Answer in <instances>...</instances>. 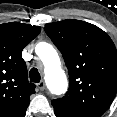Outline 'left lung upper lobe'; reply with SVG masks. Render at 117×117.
<instances>
[{"label":"left lung upper lobe","mask_w":117,"mask_h":117,"mask_svg":"<svg viewBox=\"0 0 117 117\" xmlns=\"http://www.w3.org/2000/svg\"><path fill=\"white\" fill-rule=\"evenodd\" d=\"M47 35L62 53L69 72L65 96L55 109L74 117H100L117 92V51L97 26L80 20L46 24Z\"/></svg>","instance_id":"1"}]
</instances>
